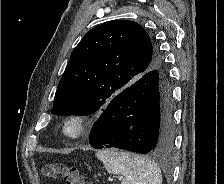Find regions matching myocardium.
<instances>
[{
	"mask_svg": "<svg viewBox=\"0 0 224 184\" xmlns=\"http://www.w3.org/2000/svg\"><path fill=\"white\" fill-rule=\"evenodd\" d=\"M89 126L90 121L85 115L72 114L65 120L62 132L67 139L77 141L87 134Z\"/></svg>",
	"mask_w": 224,
	"mask_h": 184,
	"instance_id": "obj_1",
	"label": "myocardium"
}]
</instances>
